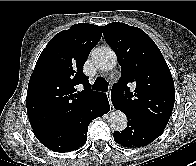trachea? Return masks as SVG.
<instances>
[{
    "instance_id": "trachea-1",
    "label": "trachea",
    "mask_w": 196,
    "mask_h": 166,
    "mask_svg": "<svg viewBox=\"0 0 196 166\" xmlns=\"http://www.w3.org/2000/svg\"><path fill=\"white\" fill-rule=\"evenodd\" d=\"M93 90L106 92L108 90V82L102 77L97 78L93 84Z\"/></svg>"
}]
</instances>
